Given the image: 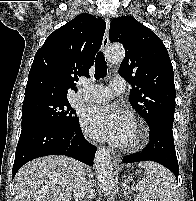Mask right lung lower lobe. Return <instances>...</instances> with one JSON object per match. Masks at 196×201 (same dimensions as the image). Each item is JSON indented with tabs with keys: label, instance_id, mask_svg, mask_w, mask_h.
Returning a JSON list of instances; mask_svg holds the SVG:
<instances>
[{
	"label": "right lung lower lobe",
	"instance_id": "1",
	"mask_svg": "<svg viewBox=\"0 0 196 201\" xmlns=\"http://www.w3.org/2000/svg\"><path fill=\"white\" fill-rule=\"evenodd\" d=\"M96 147L84 138L79 122L70 128L32 123L22 127L13 165V177L28 161L46 155H65L93 165Z\"/></svg>",
	"mask_w": 196,
	"mask_h": 201
}]
</instances>
